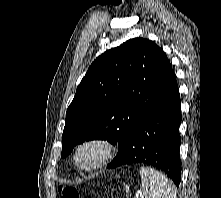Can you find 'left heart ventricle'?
<instances>
[{
	"label": "left heart ventricle",
	"instance_id": "b2bd125f",
	"mask_svg": "<svg viewBox=\"0 0 221 198\" xmlns=\"http://www.w3.org/2000/svg\"><path fill=\"white\" fill-rule=\"evenodd\" d=\"M97 152L94 149L88 148L83 150L79 155V160L82 164L88 165L95 161Z\"/></svg>",
	"mask_w": 221,
	"mask_h": 198
}]
</instances>
